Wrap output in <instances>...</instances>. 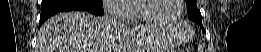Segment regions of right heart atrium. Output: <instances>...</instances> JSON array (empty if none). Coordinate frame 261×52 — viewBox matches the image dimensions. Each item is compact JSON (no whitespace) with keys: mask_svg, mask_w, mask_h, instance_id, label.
Here are the masks:
<instances>
[{"mask_svg":"<svg viewBox=\"0 0 261 52\" xmlns=\"http://www.w3.org/2000/svg\"><path fill=\"white\" fill-rule=\"evenodd\" d=\"M125 0H103L102 8L110 17L124 18L127 16V11L122 9Z\"/></svg>","mask_w":261,"mask_h":52,"instance_id":"d8ad5b80","label":"right heart atrium"}]
</instances>
